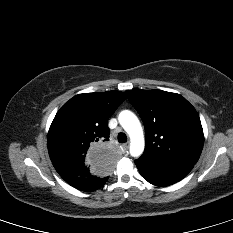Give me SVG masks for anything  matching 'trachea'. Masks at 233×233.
Here are the masks:
<instances>
[{"label":"trachea","mask_w":233,"mask_h":233,"mask_svg":"<svg viewBox=\"0 0 233 233\" xmlns=\"http://www.w3.org/2000/svg\"><path fill=\"white\" fill-rule=\"evenodd\" d=\"M127 141V136L124 133L118 134V142L119 143H125Z\"/></svg>","instance_id":"obj_1"}]
</instances>
